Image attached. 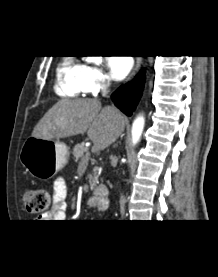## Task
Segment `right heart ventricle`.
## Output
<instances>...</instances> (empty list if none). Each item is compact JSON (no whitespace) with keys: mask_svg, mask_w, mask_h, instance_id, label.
I'll use <instances>...</instances> for the list:
<instances>
[{"mask_svg":"<svg viewBox=\"0 0 218 277\" xmlns=\"http://www.w3.org/2000/svg\"><path fill=\"white\" fill-rule=\"evenodd\" d=\"M83 64L67 57L56 70L55 92L65 98H76L85 92L83 84Z\"/></svg>","mask_w":218,"mask_h":277,"instance_id":"e07e8e85","label":"right heart ventricle"}]
</instances>
